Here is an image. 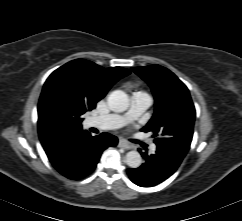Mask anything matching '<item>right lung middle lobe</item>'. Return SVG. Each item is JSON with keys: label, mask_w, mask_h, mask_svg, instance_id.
<instances>
[{"label": "right lung middle lobe", "mask_w": 242, "mask_h": 221, "mask_svg": "<svg viewBox=\"0 0 242 221\" xmlns=\"http://www.w3.org/2000/svg\"><path fill=\"white\" fill-rule=\"evenodd\" d=\"M83 113L77 111L72 106L65 102H59V119L58 124L60 127L67 131L81 127Z\"/></svg>", "instance_id": "1"}]
</instances>
